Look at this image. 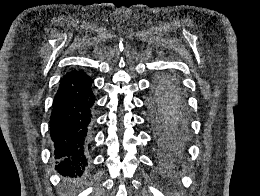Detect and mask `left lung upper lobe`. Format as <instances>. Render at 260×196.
Segmentation results:
<instances>
[{
    "label": "left lung upper lobe",
    "mask_w": 260,
    "mask_h": 196,
    "mask_svg": "<svg viewBox=\"0 0 260 196\" xmlns=\"http://www.w3.org/2000/svg\"><path fill=\"white\" fill-rule=\"evenodd\" d=\"M147 119L156 144L163 150L182 148L192 135L191 116L179 81L157 79L147 98Z\"/></svg>",
    "instance_id": "1"
}]
</instances>
